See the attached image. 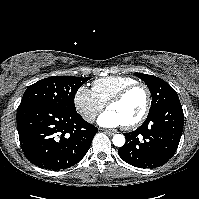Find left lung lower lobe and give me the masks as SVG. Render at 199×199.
<instances>
[{
	"label": "left lung lower lobe",
	"instance_id": "0a47b994",
	"mask_svg": "<svg viewBox=\"0 0 199 199\" xmlns=\"http://www.w3.org/2000/svg\"><path fill=\"white\" fill-rule=\"evenodd\" d=\"M184 126L180 101L162 106L149 113L145 122L135 131L125 133L126 142L118 149L119 156L139 168L164 165L175 154Z\"/></svg>",
	"mask_w": 199,
	"mask_h": 199
}]
</instances>
